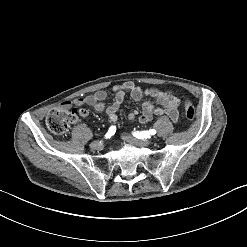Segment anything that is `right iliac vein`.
Returning a JSON list of instances; mask_svg holds the SVG:
<instances>
[{"mask_svg":"<svg viewBox=\"0 0 247 247\" xmlns=\"http://www.w3.org/2000/svg\"><path fill=\"white\" fill-rule=\"evenodd\" d=\"M90 147L93 149V150H98L100 149L101 145H100V142L99 141H94L90 144Z\"/></svg>","mask_w":247,"mask_h":247,"instance_id":"63e3f726","label":"right iliac vein"}]
</instances>
